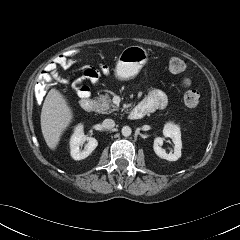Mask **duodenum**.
I'll list each match as a JSON object with an SVG mask.
<instances>
[{
  "label": "duodenum",
  "instance_id": "duodenum-1",
  "mask_svg": "<svg viewBox=\"0 0 240 240\" xmlns=\"http://www.w3.org/2000/svg\"><path fill=\"white\" fill-rule=\"evenodd\" d=\"M94 101L89 97H83L80 100V107L85 112H91L94 109ZM145 116L144 112L138 108H134L129 113V118L133 120L141 119Z\"/></svg>",
  "mask_w": 240,
  "mask_h": 240
}]
</instances>
